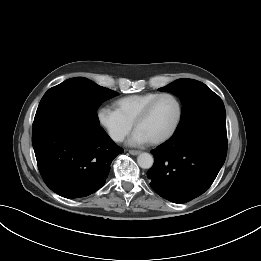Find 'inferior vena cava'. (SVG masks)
<instances>
[{
  "label": "inferior vena cava",
  "mask_w": 261,
  "mask_h": 261,
  "mask_svg": "<svg viewBox=\"0 0 261 261\" xmlns=\"http://www.w3.org/2000/svg\"><path fill=\"white\" fill-rule=\"evenodd\" d=\"M113 139H114L115 141H123L124 137L121 136V135H117V136H113Z\"/></svg>",
  "instance_id": "inferior-vena-cava-1"
}]
</instances>
